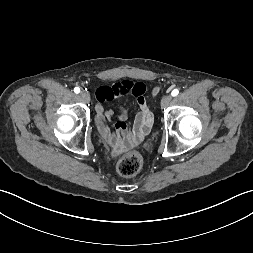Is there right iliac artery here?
I'll return each instance as SVG.
<instances>
[{
  "label": "right iliac artery",
  "mask_w": 253,
  "mask_h": 253,
  "mask_svg": "<svg viewBox=\"0 0 253 253\" xmlns=\"http://www.w3.org/2000/svg\"><path fill=\"white\" fill-rule=\"evenodd\" d=\"M74 92H75L76 94H78V93L80 92V88L75 87V88H74Z\"/></svg>",
  "instance_id": "1"
}]
</instances>
